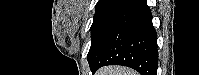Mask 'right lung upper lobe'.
I'll list each match as a JSON object with an SVG mask.
<instances>
[{"label": "right lung upper lobe", "mask_w": 199, "mask_h": 75, "mask_svg": "<svg viewBox=\"0 0 199 75\" xmlns=\"http://www.w3.org/2000/svg\"><path fill=\"white\" fill-rule=\"evenodd\" d=\"M111 1H113V0H99L98 2H97V5H101V4H104V3H108V2H111ZM96 5V6H97Z\"/></svg>", "instance_id": "cb5924a9"}]
</instances>
